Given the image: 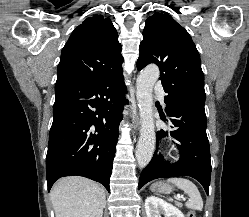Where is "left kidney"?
Returning <instances> with one entry per match:
<instances>
[{
    "instance_id": "5707ae66",
    "label": "left kidney",
    "mask_w": 249,
    "mask_h": 217,
    "mask_svg": "<svg viewBox=\"0 0 249 217\" xmlns=\"http://www.w3.org/2000/svg\"><path fill=\"white\" fill-rule=\"evenodd\" d=\"M145 211L147 217H161V213H163L165 217H185L179 209L155 196L146 198Z\"/></svg>"
}]
</instances>
